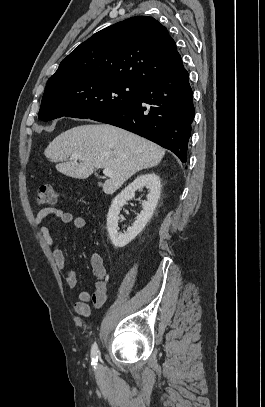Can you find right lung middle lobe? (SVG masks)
Returning a JSON list of instances; mask_svg holds the SVG:
<instances>
[{"instance_id": "1", "label": "right lung middle lobe", "mask_w": 265, "mask_h": 407, "mask_svg": "<svg viewBox=\"0 0 265 407\" xmlns=\"http://www.w3.org/2000/svg\"><path fill=\"white\" fill-rule=\"evenodd\" d=\"M142 86L126 80L98 77L74 82H48L38 116L43 121L63 116L93 118L132 103Z\"/></svg>"}]
</instances>
